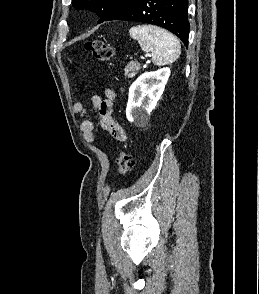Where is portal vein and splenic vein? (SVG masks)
I'll return each mask as SVG.
<instances>
[{
	"mask_svg": "<svg viewBox=\"0 0 259 294\" xmlns=\"http://www.w3.org/2000/svg\"><path fill=\"white\" fill-rule=\"evenodd\" d=\"M141 59H144V56H141Z\"/></svg>",
	"mask_w": 259,
	"mask_h": 294,
	"instance_id": "portal-vein-and-splenic-vein-1",
	"label": "portal vein and splenic vein"
}]
</instances>
